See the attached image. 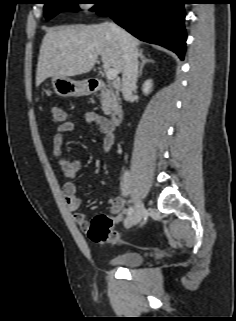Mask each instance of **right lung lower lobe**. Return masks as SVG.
I'll list each match as a JSON object with an SVG mask.
<instances>
[{
	"instance_id": "right-lung-lower-lobe-1",
	"label": "right lung lower lobe",
	"mask_w": 236,
	"mask_h": 321,
	"mask_svg": "<svg viewBox=\"0 0 236 321\" xmlns=\"http://www.w3.org/2000/svg\"><path fill=\"white\" fill-rule=\"evenodd\" d=\"M183 0H110L98 14L110 16L142 41L158 44L184 58Z\"/></svg>"
}]
</instances>
